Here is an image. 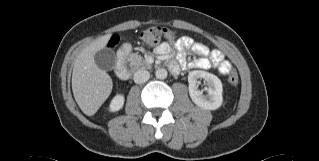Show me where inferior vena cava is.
Listing matches in <instances>:
<instances>
[{"label": "inferior vena cava", "mask_w": 319, "mask_h": 161, "mask_svg": "<svg viewBox=\"0 0 319 161\" xmlns=\"http://www.w3.org/2000/svg\"><path fill=\"white\" fill-rule=\"evenodd\" d=\"M150 73L147 70L139 69L134 73L133 80L137 84L145 83L148 81Z\"/></svg>", "instance_id": "inferior-vena-cava-1"}]
</instances>
